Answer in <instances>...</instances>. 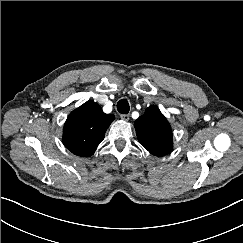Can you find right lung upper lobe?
Returning <instances> with one entry per match:
<instances>
[{
    "label": "right lung upper lobe",
    "mask_w": 243,
    "mask_h": 243,
    "mask_svg": "<svg viewBox=\"0 0 243 243\" xmlns=\"http://www.w3.org/2000/svg\"><path fill=\"white\" fill-rule=\"evenodd\" d=\"M114 118L94 101H87L69 114L63 129L64 145L75 155H92Z\"/></svg>",
    "instance_id": "1"
}]
</instances>
